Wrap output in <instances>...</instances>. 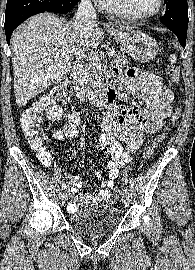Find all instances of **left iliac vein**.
<instances>
[{"instance_id":"1","label":"left iliac vein","mask_w":195,"mask_h":270,"mask_svg":"<svg viewBox=\"0 0 195 270\" xmlns=\"http://www.w3.org/2000/svg\"><path fill=\"white\" fill-rule=\"evenodd\" d=\"M121 199L125 207H127L130 203L129 196L127 194H123Z\"/></svg>"}]
</instances>
